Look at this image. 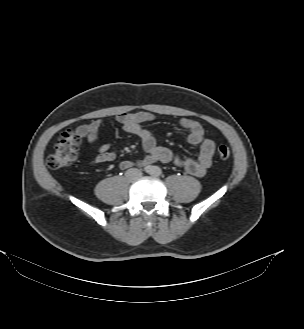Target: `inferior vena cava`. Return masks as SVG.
I'll list each match as a JSON object with an SVG mask.
<instances>
[{"label": "inferior vena cava", "mask_w": 304, "mask_h": 329, "mask_svg": "<svg viewBox=\"0 0 304 329\" xmlns=\"http://www.w3.org/2000/svg\"><path fill=\"white\" fill-rule=\"evenodd\" d=\"M125 175L130 181H136L142 176V172L139 169L131 168L126 171Z\"/></svg>", "instance_id": "obj_1"}]
</instances>
